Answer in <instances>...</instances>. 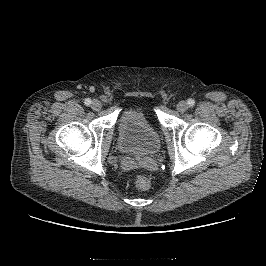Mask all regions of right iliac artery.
<instances>
[{"instance_id":"right-iliac-artery-1","label":"right iliac artery","mask_w":266,"mask_h":266,"mask_svg":"<svg viewBox=\"0 0 266 266\" xmlns=\"http://www.w3.org/2000/svg\"><path fill=\"white\" fill-rule=\"evenodd\" d=\"M85 104H86L87 106L90 105V104H91V99H89V98L85 99Z\"/></svg>"}]
</instances>
